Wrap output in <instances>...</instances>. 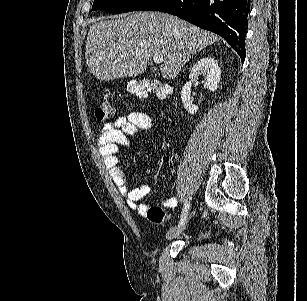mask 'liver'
<instances>
[{"label": "liver", "instance_id": "obj_1", "mask_svg": "<svg viewBox=\"0 0 307 301\" xmlns=\"http://www.w3.org/2000/svg\"><path fill=\"white\" fill-rule=\"evenodd\" d=\"M92 20L85 62L100 80L143 74L154 54L163 56V78H175L185 62L220 36L167 12H130L124 18ZM123 48V50H121Z\"/></svg>", "mask_w": 307, "mask_h": 301}]
</instances>
